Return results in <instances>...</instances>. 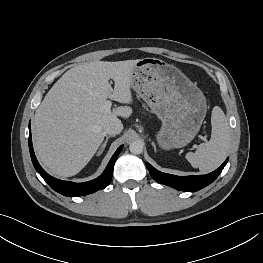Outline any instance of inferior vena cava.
Here are the masks:
<instances>
[{
    "label": "inferior vena cava",
    "mask_w": 263,
    "mask_h": 263,
    "mask_svg": "<svg viewBox=\"0 0 263 263\" xmlns=\"http://www.w3.org/2000/svg\"><path fill=\"white\" fill-rule=\"evenodd\" d=\"M122 130H123V125H122L121 121H119V120L114 121V122H110L104 127V132L106 134H110V135H117Z\"/></svg>",
    "instance_id": "obj_1"
}]
</instances>
